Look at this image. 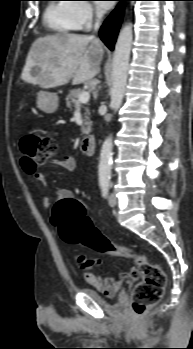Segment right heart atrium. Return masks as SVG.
<instances>
[{
  "instance_id": "d8ad5b80",
  "label": "right heart atrium",
  "mask_w": 193,
  "mask_h": 349,
  "mask_svg": "<svg viewBox=\"0 0 193 349\" xmlns=\"http://www.w3.org/2000/svg\"><path fill=\"white\" fill-rule=\"evenodd\" d=\"M72 11L79 28L89 26L98 16L97 10L86 0H75L72 5Z\"/></svg>"
}]
</instances>
